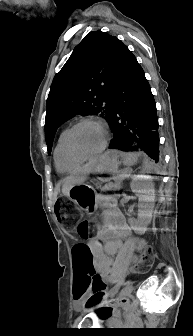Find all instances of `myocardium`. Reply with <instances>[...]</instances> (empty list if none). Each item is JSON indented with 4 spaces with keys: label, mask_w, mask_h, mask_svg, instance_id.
<instances>
[{
    "label": "myocardium",
    "mask_w": 193,
    "mask_h": 336,
    "mask_svg": "<svg viewBox=\"0 0 193 336\" xmlns=\"http://www.w3.org/2000/svg\"><path fill=\"white\" fill-rule=\"evenodd\" d=\"M86 123H93L98 126L103 130L104 132V141L101 145V147L92 153H83L78 151L74 144H73V134L76 131L77 128H79L81 125L86 124ZM110 139V133L107 125L100 119L97 118H91V117H86L78 120L76 123H74L69 129H67L66 135H65V150L68 154L69 157L77 160H87L90 158H93L95 156H98L101 154L107 147L108 142Z\"/></svg>",
    "instance_id": "obj_1"
}]
</instances>
